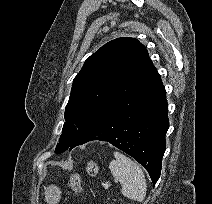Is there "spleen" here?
<instances>
[{
    "label": "spleen",
    "instance_id": "spleen-1",
    "mask_svg": "<svg viewBox=\"0 0 212 204\" xmlns=\"http://www.w3.org/2000/svg\"><path fill=\"white\" fill-rule=\"evenodd\" d=\"M115 160L109 164L112 175L122 185V194L134 201L145 199L147 186L142 169L124 154L115 151Z\"/></svg>",
    "mask_w": 212,
    "mask_h": 204
}]
</instances>
